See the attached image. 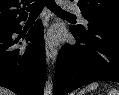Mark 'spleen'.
<instances>
[{"instance_id":"obj_1","label":"spleen","mask_w":119,"mask_h":95,"mask_svg":"<svg viewBox=\"0 0 119 95\" xmlns=\"http://www.w3.org/2000/svg\"><path fill=\"white\" fill-rule=\"evenodd\" d=\"M97 87H98V83L89 84L88 86H86V88L81 90L78 95H84L85 92H88V91H91V90H95ZM109 95H119V91L116 90V89H112L110 91Z\"/></svg>"}]
</instances>
